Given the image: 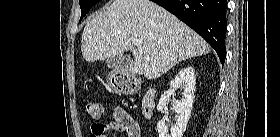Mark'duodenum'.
<instances>
[{"instance_id": "410a0bca", "label": "duodenum", "mask_w": 280, "mask_h": 137, "mask_svg": "<svg viewBox=\"0 0 280 137\" xmlns=\"http://www.w3.org/2000/svg\"><path fill=\"white\" fill-rule=\"evenodd\" d=\"M155 92L149 91L144 94L141 101V111L145 117H151L153 114L154 101H155Z\"/></svg>"}]
</instances>
